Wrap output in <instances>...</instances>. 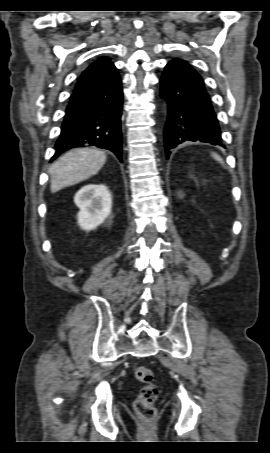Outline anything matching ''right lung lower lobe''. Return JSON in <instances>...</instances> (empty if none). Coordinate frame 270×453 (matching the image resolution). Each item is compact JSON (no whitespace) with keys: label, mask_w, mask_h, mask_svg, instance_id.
Here are the masks:
<instances>
[{"label":"right lung lower lobe","mask_w":270,"mask_h":453,"mask_svg":"<svg viewBox=\"0 0 270 453\" xmlns=\"http://www.w3.org/2000/svg\"><path fill=\"white\" fill-rule=\"evenodd\" d=\"M123 93L117 69L74 88L51 162L76 147L97 146L122 161L121 110Z\"/></svg>","instance_id":"obj_1"}]
</instances>
